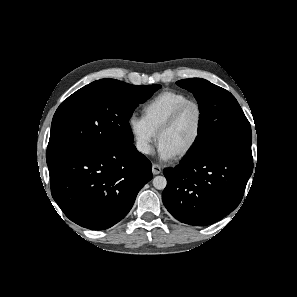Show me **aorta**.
Listing matches in <instances>:
<instances>
[{"instance_id": "762f6f07", "label": "aorta", "mask_w": 297, "mask_h": 297, "mask_svg": "<svg viewBox=\"0 0 297 297\" xmlns=\"http://www.w3.org/2000/svg\"><path fill=\"white\" fill-rule=\"evenodd\" d=\"M167 185V180L164 176H156L153 178V186L158 190H163Z\"/></svg>"}]
</instances>
